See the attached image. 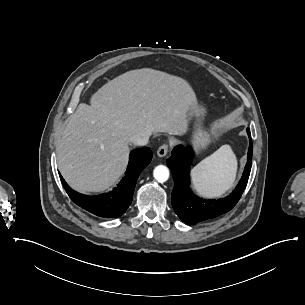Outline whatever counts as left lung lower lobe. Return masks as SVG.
<instances>
[{
  "mask_svg": "<svg viewBox=\"0 0 305 305\" xmlns=\"http://www.w3.org/2000/svg\"><path fill=\"white\" fill-rule=\"evenodd\" d=\"M249 149L243 176L232 194L220 200H204L192 194L189 185V169L193 157L191 148L181 145L172 150V156L167 159V166L173 173L174 188L172 191V206L179 218L189 225L215 218L231 210L239 201L251 171L253 144L250 130Z\"/></svg>",
  "mask_w": 305,
  "mask_h": 305,
  "instance_id": "left-lung-lower-lobe-1",
  "label": "left lung lower lobe"
}]
</instances>
